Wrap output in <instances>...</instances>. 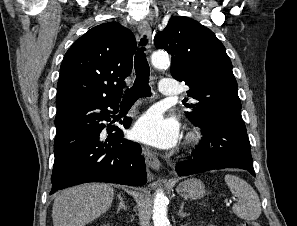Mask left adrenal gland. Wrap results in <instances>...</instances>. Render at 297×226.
Instances as JSON below:
<instances>
[{"instance_id": "left-adrenal-gland-1", "label": "left adrenal gland", "mask_w": 297, "mask_h": 226, "mask_svg": "<svg viewBox=\"0 0 297 226\" xmlns=\"http://www.w3.org/2000/svg\"><path fill=\"white\" fill-rule=\"evenodd\" d=\"M183 208H184V203L181 204L180 210H179V212H178V215H179L180 217H186V216L189 215L188 213H184V212H183Z\"/></svg>"}]
</instances>
